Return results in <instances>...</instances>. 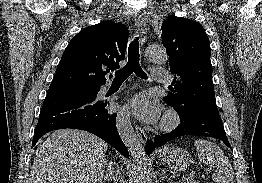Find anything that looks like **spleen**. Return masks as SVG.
<instances>
[{
  "instance_id": "1",
  "label": "spleen",
  "mask_w": 262,
  "mask_h": 183,
  "mask_svg": "<svg viewBox=\"0 0 262 183\" xmlns=\"http://www.w3.org/2000/svg\"><path fill=\"white\" fill-rule=\"evenodd\" d=\"M198 158L215 169L213 180L216 183H234V171L224 152L215 143L199 139L194 142Z\"/></svg>"
}]
</instances>
